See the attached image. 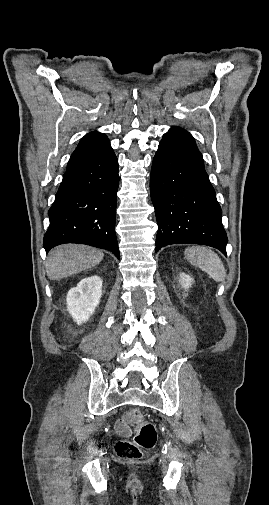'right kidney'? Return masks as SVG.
I'll return each mask as SVG.
<instances>
[{"label":"right kidney","instance_id":"obj_1","mask_svg":"<svg viewBox=\"0 0 269 505\" xmlns=\"http://www.w3.org/2000/svg\"><path fill=\"white\" fill-rule=\"evenodd\" d=\"M101 296L102 280L98 276L84 278L69 290L66 297L67 310L77 324L89 320L99 305Z\"/></svg>","mask_w":269,"mask_h":505}]
</instances>
